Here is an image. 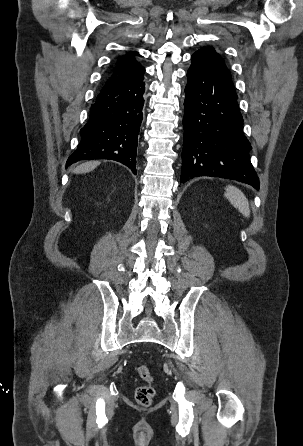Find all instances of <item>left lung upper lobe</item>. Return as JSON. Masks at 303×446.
I'll return each mask as SVG.
<instances>
[{
	"instance_id": "left-lung-upper-lobe-1",
	"label": "left lung upper lobe",
	"mask_w": 303,
	"mask_h": 446,
	"mask_svg": "<svg viewBox=\"0 0 303 446\" xmlns=\"http://www.w3.org/2000/svg\"><path fill=\"white\" fill-rule=\"evenodd\" d=\"M193 55L205 56L215 67L231 76V73L221 55L213 47H203Z\"/></svg>"
}]
</instances>
